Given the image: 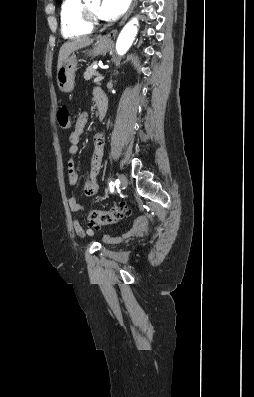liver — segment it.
<instances>
[{
  "label": "liver",
  "instance_id": "6515ba94",
  "mask_svg": "<svg viewBox=\"0 0 254 397\" xmlns=\"http://www.w3.org/2000/svg\"><path fill=\"white\" fill-rule=\"evenodd\" d=\"M92 43H93V39L89 37H78L73 39L72 41L65 42L61 46L59 51L57 70L72 52L84 48L86 46H89Z\"/></svg>",
  "mask_w": 254,
  "mask_h": 397
}]
</instances>
